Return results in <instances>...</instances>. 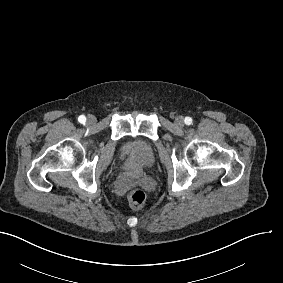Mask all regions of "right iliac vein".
<instances>
[{
    "label": "right iliac vein",
    "mask_w": 283,
    "mask_h": 283,
    "mask_svg": "<svg viewBox=\"0 0 283 283\" xmlns=\"http://www.w3.org/2000/svg\"><path fill=\"white\" fill-rule=\"evenodd\" d=\"M86 122L88 125H94L96 123V118L93 115H89Z\"/></svg>",
    "instance_id": "63e3f726"
}]
</instances>
